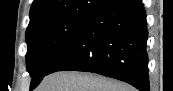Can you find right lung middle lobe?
Instances as JSON below:
<instances>
[{
    "mask_svg": "<svg viewBox=\"0 0 173 91\" xmlns=\"http://www.w3.org/2000/svg\"><path fill=\"white\" fill-rule=\"evenodd\" d=\"M92 15L70 16L29 26L26 31L27 70L31 74L30 88H35L52 62L69 45Z\"/></svg>",
    "mask_w": 173,
    "mask_h": 91,
    "instance_id": "1",
    "label": "right lung middle lobe"
}]
</instances>
